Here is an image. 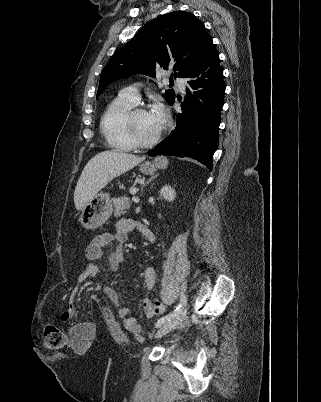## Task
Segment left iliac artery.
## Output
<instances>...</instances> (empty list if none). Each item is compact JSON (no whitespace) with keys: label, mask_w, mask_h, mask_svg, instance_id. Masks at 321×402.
Wrapping results in <instances>:
<instances>
[{"label":"left iliac artery","mask_w":321,"mask_h":402,"mask_svg":"<svg viewBox=\"0 0 321 402\" xmlns=\"http://www.w3.org/2000/svg\"><path fill=\"white\" fill-rule=\"evenodd\" d=\"M186 303H187V298H186L185 294H182L180 297L179 305L176 307V309L172 313L168 314L167 316L160 318L157 321V323L155 324L156 328L161 327L165 322L174 318L184 308Z\"/></svg>","instance_id":"obj_1"}]
</instances>
